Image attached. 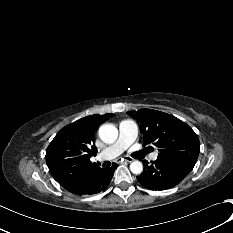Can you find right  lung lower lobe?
I'll return each mask as SVG.
<instances>
[{"instance_id":"obj_1","label":"right lung lower lobe","mask_w":233,"mask_h":233,"mask_svg":"<svg viewBox=\"0 0 233 233\" xmlns=\"http://www.w3.org/2000/svg\"><path fill=\"white\" fill-rule=\"evenodd\" d=\"M117 164H113L111 168H99L86 181L83 188L77 195H92L99 193L109 185Z\"/></svg>"}]
</instances>
